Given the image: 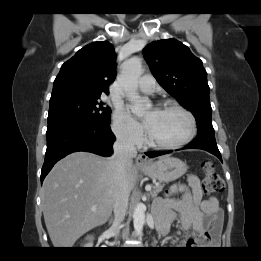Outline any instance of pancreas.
Listing matches in <instances>:
<instances>
[{"mask_svg": "<svg viewBox=\"0 0 261 261\" xmlns=\"http://www.w3.org/2000/svg\"><path fill=\"white\" fill-rule=\"evenodd\" d=\"M164 185H158V186H153L152 191L150 192L152 197H156L159 192L162 191Z\"/></svg>", "mask_w": 261, "mask_h": 261, "instance_id": "obj_1", "label": "pancreas"}]
</instances>
